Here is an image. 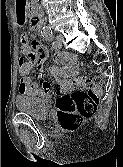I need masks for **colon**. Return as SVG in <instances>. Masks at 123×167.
I'll use <instances>...</instances> for the list:
<instances>
[{"label":"colon","mask_w":123,"mask_h":167,"mask_svg":"<svg viewBox=\"0 0 123 167\" xmlns=\"http://www.w3.org/2000/svg\"><path fill=\"white\" fill-rule=\"evenodd\" d=\"M69 58L65 54L58 56L60 61ZM28 64V58L19 59L20 70H24ZM73 83L74 90L71 93L59 95L57 99L59 122L65 130L76 129L85 119L94 115L103 87L100 78L91 76H79ZM40 87L45 92L51 89V85L46 81H41Z\"/></svg>","instance_id":"colon-1"}]
</instances>
